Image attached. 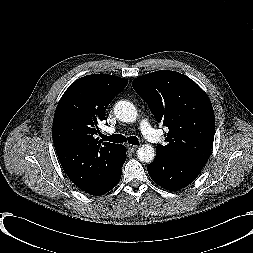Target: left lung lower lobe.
I'll return each mask as SVG.
<instances>
[{
    "label": "left lung lower lobe",
    "instance_id": "obj_1",
    "mask_svg": "<svg viewBox=\"0 0 253 253\" xmlns=\"http://www.w3.org/2000/svg\"><path fill=\"white\" fill-rule=\"evenodd\" d=\"M205 163L190 160H174L156 156L147 166L152 180L169 191L182 189L193 182Z\"/></svg>",
    "mask_w": 253,
    "mask_h": 253
}]
</instances>
